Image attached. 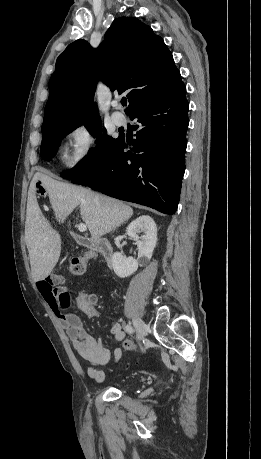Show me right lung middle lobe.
<instances>
[{"label": "right lung middle lobe", "mask_w": 261, "mask_h": 459, "mask_svg": "<svg viewBox=\"0 0 261 459\" xmlns=\"http://www.w3.org/2000/svg\"><path fill=\"white\" fill-rule=\"evenodd\" d=\"M82 124L85 125L95 137L99 136L102 132L100 119L88 122L65 123L43 130L41 144V156L43 159L50 161L56 154L62 138ZM103 133H106L105 129H103ZM119 139L120 136L114 139L106 134L101 135L97 139L96 148L89 155L85 156L73 169L62 172L61 176L73 180L93 171L106 160L111 149Z\"/></svg>", "instance_id": "right-lung-middle-lobe-1"}]
</instances>
